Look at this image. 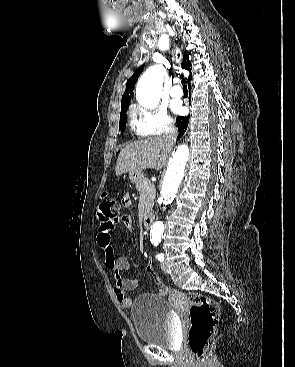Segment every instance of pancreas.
Returning <instances> with one entry per match:
<instances>
[{"label":"pancreas","instance_id":"pancreas-1","mask_svg":"<svg viewBox=\"0 0 295 367\" xmlns=\"http://www.w3.org/2000/svg\"><path fill=\"white\" fill-rule=\"evenodd\" d=\"M147 187H151V190H147ZM136 189L140 195L145 197V213H148L152 210L155 199V190L154 185L150 182L148 178H143L141 182L136 184Z\"/></svg>","mask_w":295,"mask_h":367}]
</instances>
